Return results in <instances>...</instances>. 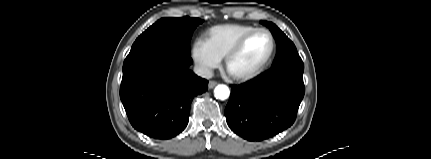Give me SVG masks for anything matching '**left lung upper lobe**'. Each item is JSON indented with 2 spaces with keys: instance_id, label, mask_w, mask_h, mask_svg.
<instances>
[{
  "instance_id": "5c2ea615",
  "label": "left lung upper lobe",
  "mask_w": 431,
  "mask_h": 159,
  "mask_svg": "<svg viewBox=\"0 0 431 159\" xmlns=\"http://www.w3.org/2000/svg\"><path fill=\"white\" fill-rule=\"evenodd\" d=\"M261 23L270 29L278 45L272 67L283 64L303 65L293 42L275 24L267 21H261Z\"/></svg>"
}]
</instances>
